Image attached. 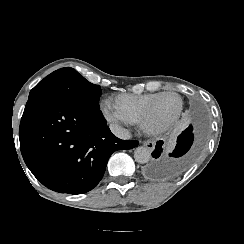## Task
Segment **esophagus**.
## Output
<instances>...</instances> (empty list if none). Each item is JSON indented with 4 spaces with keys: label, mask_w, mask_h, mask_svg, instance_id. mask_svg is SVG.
<instances>
[{
    "label": "esophagus",
    "mask_w": 244,
    "mask_h": 244,
    "mask_svg": "<svg viewBox=\"0 0 244 244\" xmlns=\"http://www.w3.org/2000/svg\"><path fill=\"white\" fill-rule=\"evenodd\" d=\"M142 144L148 148V150L150 151H153L154 148H155V141L153 140H146V141H143Z\"/></svg>",
    "instance_id": "1"
}]
</instances>
